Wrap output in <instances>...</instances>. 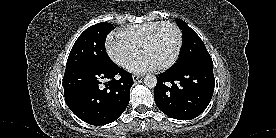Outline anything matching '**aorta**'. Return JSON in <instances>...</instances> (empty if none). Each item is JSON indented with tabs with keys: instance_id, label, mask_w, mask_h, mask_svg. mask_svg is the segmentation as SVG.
Wrapping results in <instances>:
<instances>
[{
	"instance_id": "762f6f07",
	"label": "aorta",
	"mask_w": 276,
	"mask_h": 138,
	"mask_svg": "<svg viewBox=\"0 0 276 138\" xmlns=\"http://www.w3.org/2000/svg\"><path fill=\"white\" fill-rule=\"evenodd\" d=\"M144 84L148 88H154L157 84V78L154 75H146L144 78Z\"/></svg>"
}]
</instances>
